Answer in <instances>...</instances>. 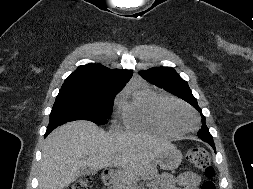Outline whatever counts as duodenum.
<instances>
[{"label": "duodenum", "mask_w": 253, "mask_h": 189, "mask_svg": "<svg viewBox=\"0 0 253 189\" xmlns=\"http://www.w3.org/2000/svg\"><path fill=\"white\" fill-rule=\"evenodd\" d=\"M114 178V172L111 169H105L102 172V183L105 186H109L112 184Z\"/></svg>", "instance_id": "410a0bca"}]
</instances>
